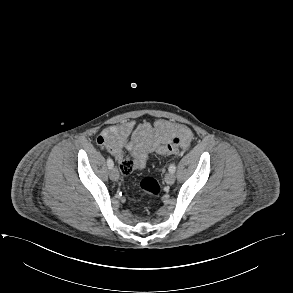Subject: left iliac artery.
I'll return each mask as SVG.
<instances>
[{
    "mask_svg": "<svg viewBox=\"0 0 293 293\" xmlns=\"http://www.w3.org/2000/svg\"><path fill=\"white\" fill-rule=\"evenodd\" d=\"M169 172L174 173L176 171V166L174 164H171L168 168Z\"/></svg>",
    "mask_w": 293,
    "mask_h": 293,
    "instance_id": "obj_1",
    "label": "left iliac artery"
}]
</instances>
